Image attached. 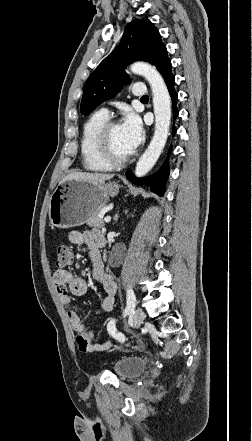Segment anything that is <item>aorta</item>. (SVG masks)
Wrapping results in <instances>:
<instances>
[{"label":"aorta","instance_id":"762f6f07","mask_svg":"<svg viewBox=\"0 0 252 441\" xmlns=\"http://www.w3.org/2000/svg\"><path fill=\"white\" fill-rule=\"evenodd\" d=\"M130 70L146 78L153 95L155 132L135 168V175L142 177L152 169L166 144L171 120V98L164 79L155 67L144 62H135L130 66Z\"/></svg>","mask_w":252,"mask_h":441}]
</instances>
